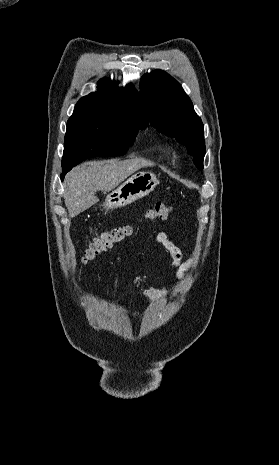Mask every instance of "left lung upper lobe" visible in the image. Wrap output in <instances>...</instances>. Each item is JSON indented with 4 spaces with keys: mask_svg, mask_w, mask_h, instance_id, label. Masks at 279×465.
<instances>
[{
    "mask_svg": "<svg viewBox=\"0 0 279 465\" xmlns=\"http://www.w3.org/2000/svg\"><path fill=\"white\" fill-rule=\"evenodd\" d=\"M140 95L151 124L183 143L202 170L204 126L181 85L166 72L155 70L142 78Z\"/></svg>",
    "mask_w": 279,
    "mask_h": 465,
    "instance_id": "5c2ea615",
    "label": "left lung upper lobe"
}]
</instances>
